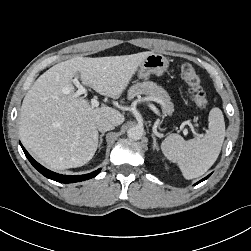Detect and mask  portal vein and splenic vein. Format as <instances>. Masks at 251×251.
Masks as SVG:
<instances>
[{"instance_id":"18ae733b","label":"portal vein and splenic vein","mask_w":251,"mask_h":251,"mask_svg":"<svg viewBox=\"0 0 251 251\" xmlns=\"http://www.w3.org/2000/svg\"><path fill=\"white\" fill-rule=\"evenodd\" d=\"M73 83L78 88V90L74 93L75 97H78L83 94H85V95L87 94L86 88L81 85V83L79 82V80L77 78L73 79ZM91 105H92V107H98L99 101L96 98H93V99H91ZM150 107L152 108L153 111H155V113H158V110L155 106L150 105ZM191 128H192V130H194L193 126H191ZM183 133H184V135H187L188 131L185 129L183 131Z\"/></svg>"}]
</instances>
